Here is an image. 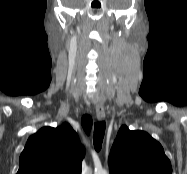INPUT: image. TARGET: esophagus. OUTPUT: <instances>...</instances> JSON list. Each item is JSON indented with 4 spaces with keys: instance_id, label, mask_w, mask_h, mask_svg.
I'll list each match as a JSON object with an SVG mask.
<instances>
[{
    "instance_id": "1",
    "label": "esophagus",
    "mask_w": 187,
    "mask_h": 174,
    "mask_svg": "<svg viewBox=\"0 0 187 174\" xmlns=\"http://www.w3.org/2000/svg\"><path fill=\"white\" fill-rule=\"evenodd\" d=\"M96 118L98 121H103L105 119V110L104 108H96Z\"/></svg>"
}]
</instances>
